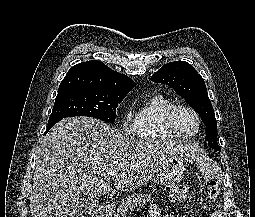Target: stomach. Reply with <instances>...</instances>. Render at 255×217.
Listing matches in <instances>:
<instances>
[{
    "instance_id": "1",
    "label": "stomach",
    "mask_w": 255,
    "mask_h": 217,
    "mask_svg": "<svg viewBox=\"0 0 255 217\" xmlns=\"http://www.w3.org/2000/svg\"><path fill=\"white\" fill-rule=\"evenodd\" d=\"M184 176L183 159L174 157L167 161L159 170L158 178L165 187H173L179 183Z\"/></svg>"
}]
</instances>
